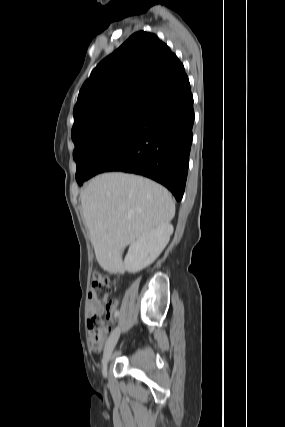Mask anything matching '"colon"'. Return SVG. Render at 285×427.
<instances>
[{
    "mask_svg": "<svg viewBox=\"0 0 285 427\" xmlns=\"http://www.w3.org/2000/svg\"><path fill=\"white\" fill-rule=\"evenodd\" d=\"M113 284L111 280L96 272L89 288V298L92 301L103 303L112 293ZM88 327L91 336L92 344L95 348H100L109 332L107 323L99 316H92L88 320Z\"/></svg>",
    "mask_w": 285,
    "mask_h": 427,
    "instance_id": "1",
    "label": "colon"
}]
</instances>
